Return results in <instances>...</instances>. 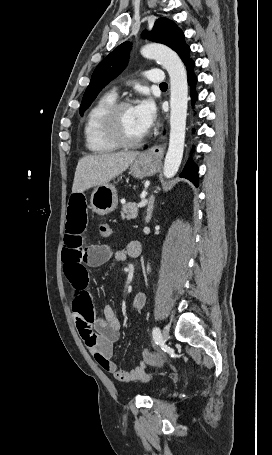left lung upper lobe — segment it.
<instances>
[{
	"instance_id": "5c2ea615",
	"label": "left lung upper lobe",
	"mask_w": 272,
	"mask_h": 455,
	"mask_svg": "<svg viewBox=\"0 0 272 455\" xmlns=\"http://www.w3.org/2000/svg\"><path fill=\"white\" fill-rule=\"evenodd\" d=\"M152 41L165 44L176 51L181 59L188 60L190 48L185 44L184 34L167 18H159L150 33H144ZM131 44L124 42L107 55L95 68L80 106V115L91 105L104 86L118 76L129 60Z\"/></svg>"
}]
</instances>
